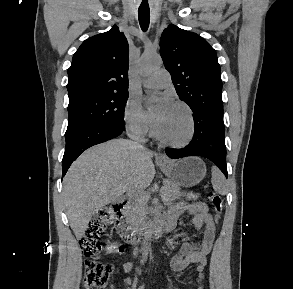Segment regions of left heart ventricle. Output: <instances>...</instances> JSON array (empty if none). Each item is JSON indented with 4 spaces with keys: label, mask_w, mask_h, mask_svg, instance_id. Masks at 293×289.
Wrapping results in <instances>:
<instances>
[{
    "label": "left heart ventricle",
    "mask_w": 293,
    "mask_h": 289,
    "mask_svg": "<svg viewBox=\"0 0 293 289\" xmlns=\"http://www.w3.org/2000/svg\"><path fill=\"white\" fill-rule=\"evenodd\" d=\"M155 129L162 138L169 141L183 140L189 131L187 112L172 104L165 116L155 124Z\"/></svg>",
    "instance_id": "left-heart-ventricle-1"
}]
</instances>
